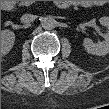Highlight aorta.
<instances>
[{
  "mask_svg": "<svg viewBox=\"0 0 109 109\" xmlns=\"http://www.w3.org/2000/svg\"><path fill=\"white\" fill-rule=\"evenodd\" d=\"M56 26V21L53 17L47 16L42 20V27L45 30H52Z\"/></svg>",
  "mask_w": 109,
  "mask_h": 109,
  "instance_id": "762f6f07",
  "label": "aorta"
}]
</instances>
